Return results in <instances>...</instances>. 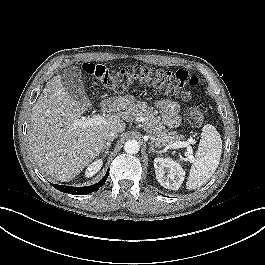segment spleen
I'll list each match as a JSON object with an SVG mask.
<instances>
[{
  "label": "spleen",
  "instance_id": "3e777b00",
  "mask_svg": "<svg viewBox=\"0 0 265 265\" xmlns=\"http://www.w3.org/2000/svg\"><path fill=\"white\" fill-rule=\"evenodd\" d=\"M222 152V140L214 126L203 127L195 158L192 160L187 189H196L205 184L216 171ZM181 161L185 159L181 158Z\"/></svg>",
  "mask_w": 265,
  "mask_h": 265
}]
</instances>
